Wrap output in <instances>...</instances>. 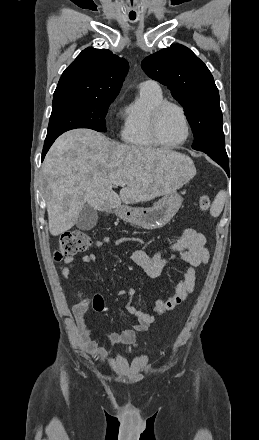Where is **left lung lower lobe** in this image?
I'll return each mask as SVG.
<instances>
[{"label":"left lung lower lobe","instance_id":"obj_1","mask_svg":"<svg viewBox=\"0 0 259 440\" xmlns=\"http://www.w3.org/2000/svg\"><path fill=\"white\" fill-rule=\"evenodd\" d=\"M210 156L214 161L225 169L226 172L229 170L228 156L226 150L223 151H211V150H200Z\"/></svg>","mask_w":259,"mask_h":440}]
</instances>
